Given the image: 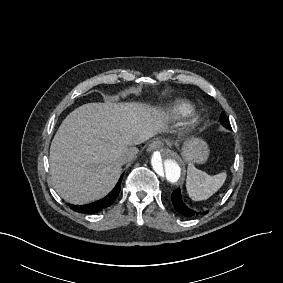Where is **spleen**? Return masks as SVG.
I'll list each match as a JSON object with an SVG mask.
<instances>
[{
  "label": "spleen",
  "instance_id": "spleen-1",
  "mask_svg": "<svg viewBox=\"0 0 283 283\" xmlns=\"http://www.w3.org/2000/svg\"><path fill=\"white\" fill-rule=\"evenodd\" d=\"M225 172L211 176L204 171L197 169L193 164L187 168L186 189L189 197L194 201H201L210 198L217 192L226 180Z\"/></svg>",
  "mask_w": 283,
  "mask_h": 283
}]
</instances>
